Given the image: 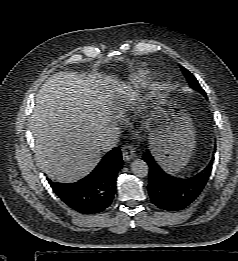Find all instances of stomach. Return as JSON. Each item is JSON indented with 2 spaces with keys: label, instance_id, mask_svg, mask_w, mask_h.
I'll list each match as a JSON object with an SVG mask.
<instances>
[{
  "label": "stomach",
  "instance_id": "0dacf381",
  "mask_svg": "<svg viewBox=\"0 0 238 261\" xmlns=\"http://www.w3.org/2000/svg\"><path fill=\"white\" fill-rule=\"evenodd\" d=\"M145 108L151 113L147 133L153 156L166 171L180 170L195 147V129L189 114L160 93L149 94Z\"/></svg>",
  "mask_w": 238,
  "mask_h": 261
}]
</instances>
